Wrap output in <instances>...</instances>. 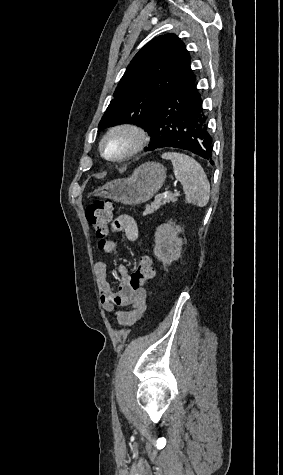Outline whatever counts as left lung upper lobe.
I'll return each mask as SVG.
<instances>
[{"mask_svg": "<svg viewBox=\"0 0 283 475\" xmlns=\"http://www.w3.org/2000/svg\"><path fill=\"white\" fill-rule=\"evenodd\" d=\"M190 62L189 52L175 34L148 42L128 65L98 131L126 122L145 128L163 97L193 73Z\"/></svg>", "mask_w": 283, "mask_h": 475, "instance_id": "5c2ea615", "label": "left lung upper lobe"}]
</instances>
